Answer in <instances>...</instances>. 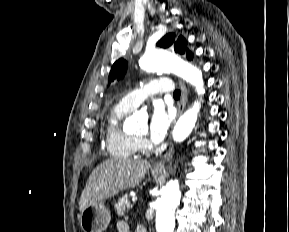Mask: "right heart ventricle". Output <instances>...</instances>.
Here are the masks:
<instances>
[{"label":"right heart ventricle","instance_id":"obj_1","mask_svg":"<svg viewBox=\"0 0 289 232\" xmlns=\"http://www.w3.org/2000/svg\"><path fill=\"white\" fill-rule=\"evenodd\" d=\"M131 110L124 107L120 102L115 104L107 115L105 127V143L108 153L113 157L133 158L136 157L141 143L135 136L126 133L121 127L122 119Z\"/></svg>","mask_w":289,"mask_h":232}]
</instances>
